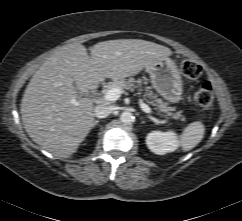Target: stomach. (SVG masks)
I'll return each mask as SVG.
<instances>
[{
  "label": "stomach",
  "mask_w": 242,
  "mask_h": 221,
  "mask_svg": "<svg viewBox=\"0 0 242 221\" xmlns=\"http://www.w3.org/2000/svg\"><path fill=\"white\" fill-rule=\"evenodd\" d=\"M152 87L167 101L178 103L183 95V83L176 63L165 58L147 69Z\"/></svg>",
  "instance_id": "0dacf381"
}]
</instances>
